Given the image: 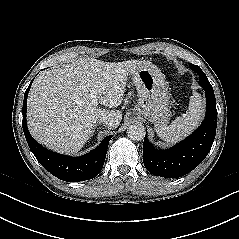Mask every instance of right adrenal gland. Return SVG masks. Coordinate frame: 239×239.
Returning <instances> with one entry per match:
<instances>
[{
    "label": "right adrenal gland",
    "mask_w": 239,
    "mask_h": 239,
    "mask_svg": "<svg viewBox=\"0 0 239 239\" xmlns=\"http://www.w3.org/2000/svg\"><path fill=\"white\" fill-rule=\"evenodd\" d=\"M95 128H96V125H95V127H94V130H93V132H92L91 136H93V133H94V131H95Z\"/></svg>",
    "instance_id": "right-adrenal-gland-1"
}]
</instances>
